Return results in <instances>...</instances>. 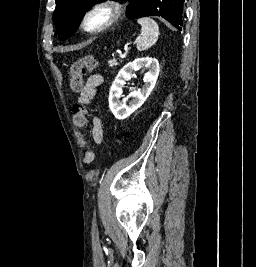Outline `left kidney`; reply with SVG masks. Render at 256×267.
Here are the masks:
<instances>
[{
    "mask_svg": "<svg viewBox=\"0 0 256 267\" xmlns=\"http://www.w3.org/2000/svg\"><path fill=\"white\" fill-rule=\"evenodd\" d=\"M140 68H148L147 74L143 78L144 86L142 90H134L130 92L127 98L120 102L122 96V88H124L127 80L133 78V72L140 70ZM160 66L156 58H136L134 62H128L123 66L122 70L118 72L109 92V108L117 120H125L135 110H138L148 96H150L159 76ZM132 98L127 106L126 102Z\"/></svg>",
    "mask_w": 256,
    "mask_h": 267,
    "instance_id": "5707ae66",
    "label": "left kidney"
}]
</instances>
